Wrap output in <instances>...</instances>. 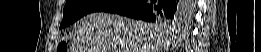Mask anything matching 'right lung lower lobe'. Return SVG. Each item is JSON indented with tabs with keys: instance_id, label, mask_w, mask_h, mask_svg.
I'll list each match as a JSON object with an SVG mask.
<instances>
[{
	"instance_id": "obj_1",
	"label": "right lung lower lobe",
	"mask_w": 261,
	"mask_h": 52,
	"mask_svg": "<svg viewBox=\"0 0 261 52\" xmlns=\"http://www.w3.org/2000/svg\"><path fill=\"white\" fill-rule=\"evenodd\" d=\"M103 11L153 22L157 19L182 17L187 10L181 0H125Z\"/></svg>"
}]
</instances>
